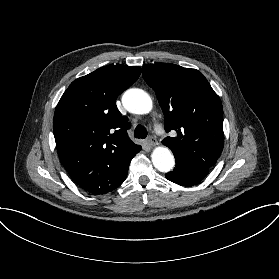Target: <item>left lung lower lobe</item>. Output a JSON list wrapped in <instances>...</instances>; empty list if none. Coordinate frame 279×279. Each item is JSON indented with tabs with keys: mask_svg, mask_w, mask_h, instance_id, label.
<instances>
[{
	"mask_svg": "<svg viewBox=\"0 0 279 279\" xmlns=\"http://www.w3.org/2000/svg\"><path fill=\"white\" fill-rule=\"evenodd\" d=\"M209 170L199 169L186 163L176 162L173 171L166 174V178L182 186H192L203 180Z\"/></svg>",
	"mask_w": 279,
	"mask_h": 279,
	"instance_id": "left-lung-lower-lobe-1",
	"label": "left lung lower lobe"
}]
</instances>
